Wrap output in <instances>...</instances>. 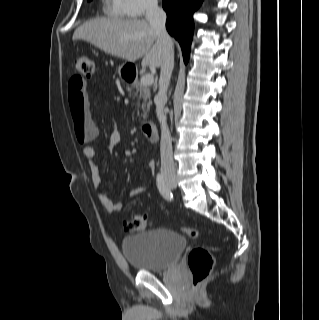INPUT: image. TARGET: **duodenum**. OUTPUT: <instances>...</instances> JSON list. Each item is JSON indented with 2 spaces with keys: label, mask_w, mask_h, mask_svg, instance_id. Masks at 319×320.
<instances>
[{
  "label": "duodenum",
  "mask_w": 319,
  "mask_h": 320,
  "mask_svg": "<svg viewBox=\"0 0 319 320\" xmlns=\"http://www.w3.org/2000/svg\"><path fill=\"white\" fill-rule=\"evenodd\" d=\"M142 130L148 141L155 142L157 140L158 132L154 123H145Z\"/></svg>",
  "instance_id": "410a0bca"
}]
</instances>
